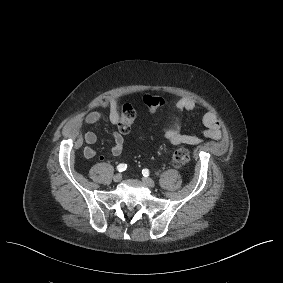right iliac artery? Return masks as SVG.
Here are the masks:
<instances>
[{"instance_id":"1","label":"right iliac artery","mask_w":283,"mask_h":283,"mask_svg":"<svg viewBox=\"0 0 283 283\" xmlns=\"http://www.w3.org/2000/svg\"><path fill=\"white\" fill-rule=\"evenodd\" d=\"M126 168H127V164H119V165L117 166V170H118L119 172L125 171Z\"/></svg>"}]
</instances>
